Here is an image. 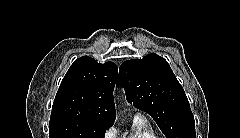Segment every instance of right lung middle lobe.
Masks as SVG:
<instances>
[{
	"instance_id": "1",
	"label": "right lung middle lobe",
	"mask_w": 240,
	"mask_h": 138,
	"mask_svg": "<svg viewBox=\"0 0 240 138\" xmlns=\"http://www.w3.org/2000/svg\"><path fill=\"white\" fill-rule=\"evenodd\" d=\"M112 124L77 117H54L50 119V138H104Z\"/></svg>"
}]
</instances>
